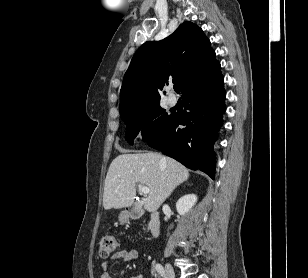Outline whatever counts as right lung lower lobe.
Here are the masks:
<instances>
[{"mask_svg":"<svg viewBox=\"0 0 308 278\" xmlns=\"http://www.w3.org/2000/svg\"><path fill=\"white\" fill-rule=\"evenodd\" d=\"M224 78L217 74L211 80L186 92L183 98L184 116L173 115L170 123L148 145L181 162L199 169L214 179V141L226 110ZM186 126L180 129L178 126Z\"/></svg>","mask_w":308,"mask_h":278,"instance_id":"1","label":"right lung lower lobe"}]
</instances>
